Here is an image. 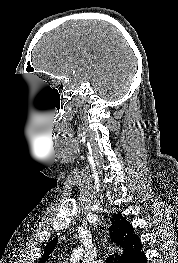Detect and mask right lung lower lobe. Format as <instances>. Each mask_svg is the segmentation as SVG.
<instances>
[{"instance_id": "right-lung-lower-lobe-1", "label": "right lung lower lobe", "mask_w": 178, "mask_h": 263, "mask_svg": "<svg viewBox=\"0 0 178 263\" xmlns=\"http://www.w3.org/2000/svg\"><path fill=\"white\" fill-rule=\"evenodd\" d=\"M147 259L143 250H141L132 260L128 263H146Z\"/></svg>"}]
</instances>
